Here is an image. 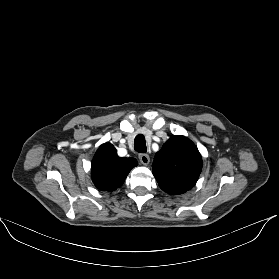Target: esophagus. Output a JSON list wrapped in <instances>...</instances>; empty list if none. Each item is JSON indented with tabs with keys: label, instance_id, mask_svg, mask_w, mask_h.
<instances>
[{
	"label": "esophagus",
	"instance_id": "esophagus-1",
	"mask_svg": "<svg viewBox=\"0 0 279 279\" xmlns=\"http://www.w3.org/2000/svg\"><path fill=\"white\" fill-rule=\"evenodd\" d=\"M139 160L143 165H148L150 162V158H149L148 154H140Z\"/></svg>",
	"mask_w": 279,
	"mask_h": 279
}]
</instances>
